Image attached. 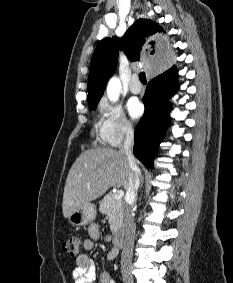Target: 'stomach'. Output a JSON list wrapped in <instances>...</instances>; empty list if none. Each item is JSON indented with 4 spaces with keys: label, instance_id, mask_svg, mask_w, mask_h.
<instances>
[{
    "label": "stomach",
    "instance_id": "0dacf381",
    "mask_svg": "<svg viewBox=\"0 0 233 283\" xmlns=\"http://www.w3.org/2000/svg\"><path fill=\"white\" fill-rule=\"evenodd\" d=\"M96 215V206L92 203H88L72 212L67 219L73 226H83L92 222L96 218Z\"/></svg>",
    "mask_w": 233,
    "mask_h": 283
}]
</instances>
